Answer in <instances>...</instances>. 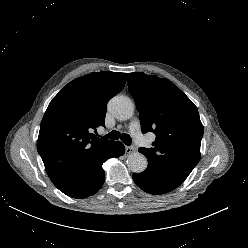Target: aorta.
Segmentation results:
<instances>
[{"label":"aorta","mask_w":248,"mask_h":248,"mask_svg":"<svg viewBox=\"0 0 248 248\" xmlns=\"http://www.w3.org/2000/svg\"><path fill=\"white\" fill-rule=\"evenodd\" d=\"M111 114L120 120L130 119L134 114V103L126 96L118 95L113 97L108 104ZM147 158L139 153H131L127 158V166L134 173H141L146 170Z\"/></svg>","instance_id":"762f6f07"}]
</instances>
